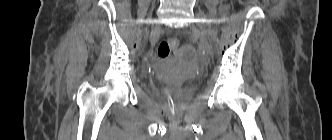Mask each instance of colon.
<instances>
[{"mask_svg":"<svg viewBox=\"0 0 332 140\" xmlns=\"http://www.w3.org/2000/svg\"><path fill=\"white\" fill-rule=\"evenodd\" d=\"M179 47V40L177 38H169L162 41L157 48V56L161 59H165L176 51Z\"/></svg>","mask_w":332,"mask_h":140,"instance_id":"colon-1","label":"colon"}]
</instances>
